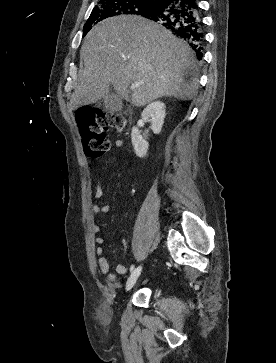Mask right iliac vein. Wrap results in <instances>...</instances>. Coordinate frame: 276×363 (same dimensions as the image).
Wrapping results in <instances>:
<instances>
[{"label": "right iliac vein", "mask_w": 276, "mask_h": 363, "mask_svg": "<svg viewBox=\"0 0 276 363\" xmlns=\"http://www.w3.org/2000/svg\"><path fill=\"white\" fill-rule=\"evenodd\" d=\"M141 272V266L137 267L130 275L126 283V291H130L132 287L135 285L139 275Z\"/></svg>", "instance_id": "right-iliac-vein-1"}]
</instances>
